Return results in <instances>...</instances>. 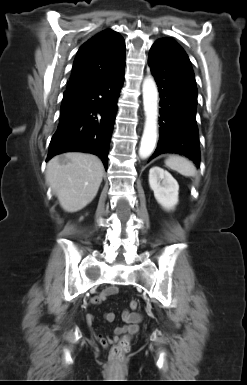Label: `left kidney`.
<instances>
[{
  "label": "left kidney",
  "instance_id": "5707ae66",
  "mask_svg": "<svg viewBox=\"0 0 247 385\" xmlns=\"http://www.w3.org/2000/svg\"><path fill=\"white\" fill-rule=\"evenodd\" d=\"M149 185L157 202L166 210H172L178 203L179 185L173 176L158 166L149 171Z\"/></svg>",
  "mask_w": 247,
  "mask_h": 385
}]
</instances>
